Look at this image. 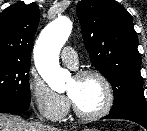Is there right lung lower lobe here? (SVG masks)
<instances>
[{
  "mask_svg": "<svg viewBox=\"0 0 147 131\" xmlns=\"http://www.w3.org/2000/svg\"><path fill=\"white\" fill-rule=\"evenodd\" d=\"M30 104H20L7 99H0V113L20 114L29 108Z\"/></svg>",
  "mask_w": 147,
  "mask_h": 131,
  "instance_id": "98d812e1",
  "label": "right lung lower lobe"
}]
</instances>
